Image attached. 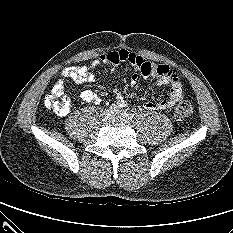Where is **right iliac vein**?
Wrapping results in <instances>:
<instances>
[{
  "instance_id": "right-iliac-vein-1",
  "label": "right iliac vein",
  "mask_w": 233,
  "mask_h": 233,
  "mask_svg": "<svg viewBox=\"0 0 233 233\" xmlns=\"http://www.w3.org/2000/svg\"><path fill=\"white\" fill-rule=\"evenodd\" d=\"M101 120L103 122H107L112 118V114L109 110H104L102 111V113L100 114Z\"/></svg>"
}]
</instances>
